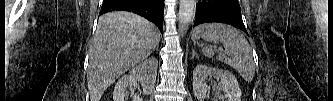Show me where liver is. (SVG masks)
<instances>
[{
	"instance_id": "obj_1",
	"label": "liver",
	"mask_w": 333,
	"mask_h": 101,
	"mask_svg": "<svg viewBox=\"0 0 333 101\" xmlns=\"http://www.w3.org/2000/svg\"><path fill=\"white\" fill-rule=\"evenodd\" d=\"M159 42L157 27L136 14L115 11L100 17L89 51L90 101H100L105 89L147 58Z\"/></svg>"
}]
</instances>
